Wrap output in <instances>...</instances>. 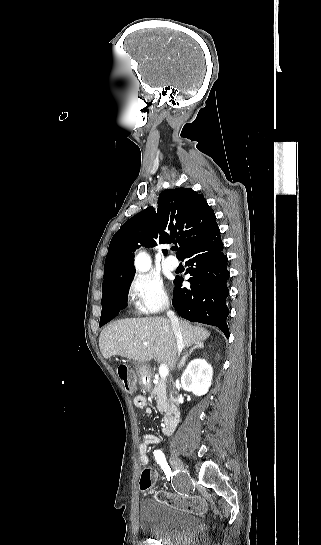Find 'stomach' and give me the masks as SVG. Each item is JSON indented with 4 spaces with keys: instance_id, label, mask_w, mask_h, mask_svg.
Masks as SVG:
<instances>
[{
    "instance_id": "1",
    "label": "stomach",
    "mask_w": 321,
    "mask_h": 545,
    "mask_svg": "<svg viewBox=\"0 0 321 545\" xmlns=\"http://www.w3.org/2000/svg\"><path fill=\"white\" fill-rule=\"evenodd\" d=\"M134 369H135L138 377H143L145 371H147V369H148V365H147V363H139V361H137V363H135V365H134Z\"/></svg>"
}]
</instances>
